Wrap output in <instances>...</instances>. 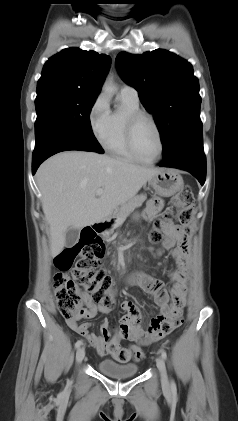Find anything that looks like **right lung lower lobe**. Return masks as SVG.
Returning a JSON list of instances; mask_svg holds the SVG:
<instances>
[{"instance_id":"98d812e1","label":"right lung lower lobe","mask_w":238,"mask_h":421,"mask_svg":"<svg viewBox=\"0 0 238 421\" xmlns=\"http://www.w3.org/2000/svg\"><path fill=\"white\" fill-rule=\"evenodd\" d=\"M80 150L93 151L70 134L55 127L47 128L38 140H35V149L32 159V172L35 174L39 165L48 157L62 151Z\"/></svg>"}]
</instances>
